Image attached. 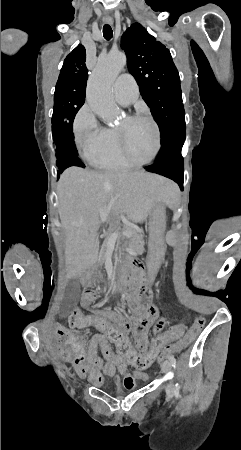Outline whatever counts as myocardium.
Here are the masks:
<instances>
[{"instance_id": "f54148a6", "label": "myocardium", "mask_w": 241, "mask_h": 450, "mask_svg": "<svg viewBox=\"0 0 241 450\" xmlns=\"http://www.w3.org/2000/svg\"><path fill=\"white\" fill-rule=\"evenodd\" d=\"M154 127H159V122H154ZM124 133H125V129H123V128H120V129H118V131H117V134H118V136L116 137V142L119 144V149H121V151H122V157H126V162H127V159H128V157H129V153H127V151L125 150V146H124V144H125V140H124V138H123V135H124ZM161 134V131L160 130H155V132L153 133V136L155 137L154 138V145H153V155H154V158H159V153H158V149H159V143H161V142H163V137H158L159 135ZM147 162H152L153 161V159L152 160H146Z\"/></svg>"}]
</instances>
